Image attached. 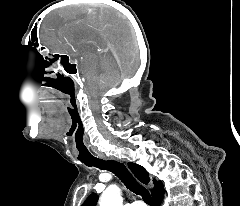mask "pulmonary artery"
I'll list each match as a JSON object with an SVG mask.
<instances>
[{"label":"pulmonary artery","instance_id":"e3ab8cb5","mask_svg":"<svg viewBox=\"0 0 240 206\" xmlns=\"http://www.w3.org/2000/svg\"><path fill=\"white\" fill-rule=\"evenodd\" d=\"M130 206H145V204L141 201H134L130 204Z\"/></svg>","mask_w":240,"mask_h":206}]
</instances>
